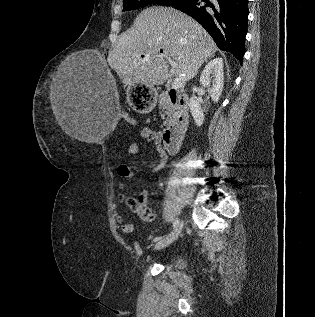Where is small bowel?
I'll return each mask as SVG.
<instances>
[{
	"label": "small bowel",
	"mask_w": 315,
	"mask_h": 317,
	"mask_svg": "<svg viewBox=\"0 0 315 317\" xmlns=\"http://www.w3.org/2000/svg\"><path fill=\"white\" fill-rule=\"evenodd\" d=\"M140 136L147 142L152 143L156 151L158 153V163L154 166V171L158 172L162 170L166 164L168 155L166 151L161 146V135L160 133L148 128V127H141L138 129ZM127 155L128 156H135L140 153V147L136 143H132L127 147ZM117 174L122 180H127L132 177V172L129 166L123 164L117 167ZM120 192L117 195V199L119 202H123L125 200V193H124V185L122 183L119 184ZM148 194L146 191H143L139 195V199L143 206L147 203ZM116 222L120 224L121 231L123 233L129 234L132 233L134 230V226L132 223L125 222L124 217L116 213L115 215Z\"/></svg>",
	"instance_id": "c3829d8e"
}]
</instances>
